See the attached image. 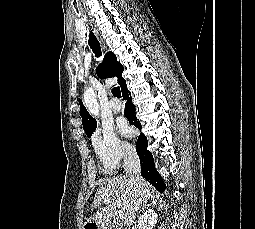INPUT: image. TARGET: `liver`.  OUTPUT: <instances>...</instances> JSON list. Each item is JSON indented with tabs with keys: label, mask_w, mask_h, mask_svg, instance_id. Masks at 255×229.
Masks as SVG:
<instances>
[{
	"label": "liver",
	"mask_w": 255,
	"mask_h": 229,
	"mask_svg": "<svg viewBox=\"0 0 255 229\" xmlns=\"http://www.w3.org/2000/svg\"><path fill=\"white\" fill-rule=\"evenodd\" d=\"M154 198L152 186L141 176L120 175L114 178L103 179L95 194L92 207L98 208L89 222L102 225L109 223L116 212L117 203H120L124 213V225L129 227L135 218V213L141 206H146L148 200ZM110 202L105 203L106 200ZM104 204L105 206L101 207Z\"/></svg>",
	"instance_id": "1"
}]
</instances>
